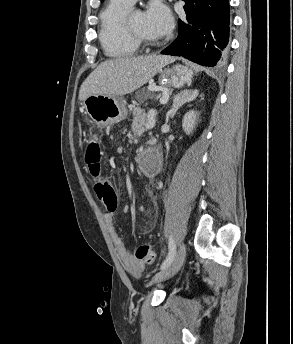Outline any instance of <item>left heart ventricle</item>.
Instances as JSON below:
<instances>
[{
    "mask_svg": "<svg viewBox=\"0 0 293 344\" xmlns=\"http://www.w3.org/2000/svg\"><path fill=\"white\" fill-rule=\"evenodd\" d=\"M129 26L131 27V29L151 40V41H155L157 39V37L151 35L145 28V23H144V14L142 12H133L130 17H129Z\"/></svg>",
    "mask_w": 293,
    "mask_h": 344,
    "instance_id": "left-heart-ventricle-1",
    "label": "left heart ventricle"
}]
</instances>
